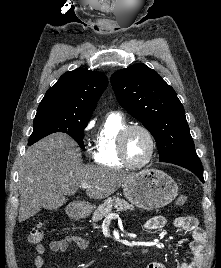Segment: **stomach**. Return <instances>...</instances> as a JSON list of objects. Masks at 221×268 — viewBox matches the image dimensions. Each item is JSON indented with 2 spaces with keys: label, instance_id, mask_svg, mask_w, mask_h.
<instances>
[{
  "label": "stomach",
  "instance_id": "1",
  "mask_svg": "<svg viewBox=\"0 0 221 268\" xmlns=\"http://www.w3.org/2000/svg\"><path fill=\"white\" fill-rule=\"evenodd\" d=\"M125 197L134 205L146 210L164 207L178 195L177 183L158 169H144L134 174L123 185ZM89 203H78L68 211L76 219L85 218L92 212Z\"/></svg>",
  "mask_w": 221,
  "mask_h": 268
}]
</instances>
